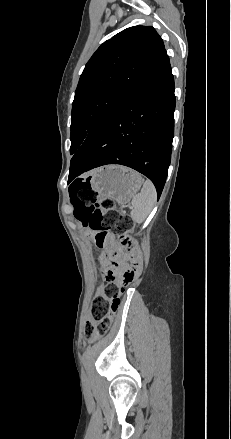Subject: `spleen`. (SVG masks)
<instances>
[{
  "instance_id": "spleen-1",
  "label": "spleen",
  "mask_w": 231,
  "mask_h": 439,
  "mask_svg": "<svg viewBox=\"0 0 231 439\" xmlns=\"http://www.w3.org/2000/svg\"><path fill=\"white\" fill-rule=\"evenodd\" d=\"M157 198L155 186L146 180L141 191L132 199L131 218L134 222L142 223L151 212Z\"/></svg>"
}]
</instances>
